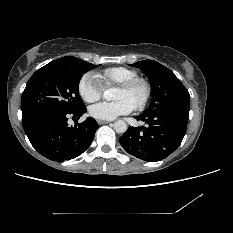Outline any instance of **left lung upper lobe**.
<instances>
[{
    "label": "left lung upper lobe",
    "mask_w": 233,
    "mask_h": 233,
    "mask_svg": "<svg viewBox=\"0 0 233 233\" xmlns=\"http://www.w3.org/2000/svg\"><path fill=\"white\" fill-rule=\"evenodd\" d=\"M129 65L139 68L151 83L152 101L143 114L189 110V92L171 70L154 60Z\"/></svg>",
    "instance_id": "5c2ea615"
}]
</instances>
